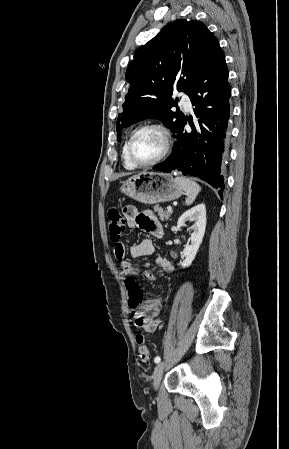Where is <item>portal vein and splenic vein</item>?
Wrapping results in <instances>:
<instances>
[{
    "instance_id": "1",
    "label": "portal vein and splenic vein",
    "mask_w": 289,
    "mask_h": 449,
    "mask_svg": "<svg viewBox=\"0 0 289 449\" xmlns=\"http://www.w3.org/2000/svg\"><path fill=\"white\" fill-rule=\"evenodd\" d=\"M167 210H168L169 212H171V211H172V207H171V206H168V207H167Z\"/></svg>"
}]
</instances>
